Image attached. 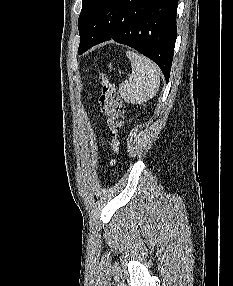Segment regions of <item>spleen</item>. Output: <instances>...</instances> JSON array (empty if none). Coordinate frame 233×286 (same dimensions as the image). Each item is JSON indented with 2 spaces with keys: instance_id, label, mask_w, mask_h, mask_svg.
<instances>
[{
  "instance_id": "3e777b00",
  "label": "spleen",
  "mask_w": 233,
  "mask_h": 286,
  "mask_svg": "<svg viewBox=\"0 0 233 286\" xmlns=\"http://www.w3.org/2000/svg\"><path fill=\"white\" fill-rule=\"evenodd\" d=\"M132 67L129 80L119 85V93L125 102L143 104L153 98L160 86L158 66L147 57L127 51Z\"/></svg>"
}]
</instances>
